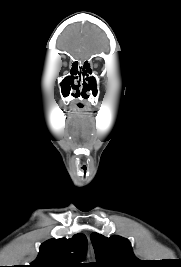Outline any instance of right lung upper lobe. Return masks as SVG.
<instances>
[{"label": "right lung upper lobe", "instance_id": "obj_1", "mask_svg": "<svg viewBox=\"0 0 181 267\" xmlns=\"http://www.w3.org/2000/svg\"><path fill=\"white\" fill-rule=\"evenodd\" d=\"M86 249L87 238L81 233L71 239H50L41 245L40 253L30 267H86L88 264L78 263Z\"/></svg>", "mask_w": 181, "mask_h": 267}]
</instances>
